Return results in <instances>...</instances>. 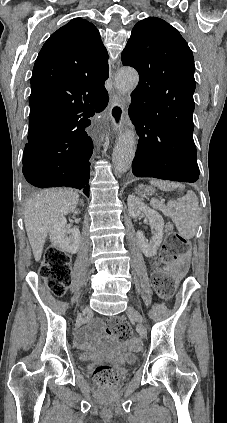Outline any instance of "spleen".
<instances>
[{
  "instance_id": "spleen-1",
  "label": "spleen",
  "mask_w": 227,
  "mask_h": 423,
  "mask_svg": "<svg viewBox=\"0 0 227 423\" xmlns=\"http://www.w3.org/2000/svg\"><path fill=\"white\" fill-rule=\"evenodd\" d=\"M152 186H157L163 192H170L175 188H185L183 184H174V182H162V180H150ZM151 206L155 210H161L164 215H169L174 221L179 235L185 239H191L195 235L196 227L198 225L199 206L196 194L188 190L183 198L178 200H170L167 206L161 204L158 200H151Z\"/></svg>"
}]
</instances>
